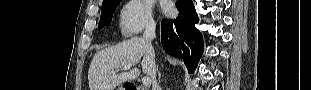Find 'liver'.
<instances>
[{
    "instance_id": "obj_1",
    "label": "liver",
    "mask_w": 311,
    "mask_h": 90,
    "mask_svg": "<svg viewBox=\"0 0 311 90\" xmlns=\"http://www.w3.org/2000/svg\"><path fill=\"white\" fill-rule=\"evenodd\" d=\"M141 60L143 73L151 76L155 52L152 45L143 38L134 37L98 51L88 71L90 90H114L116 86L126 81L135 80L140 75L138 68L118 74L112 71L138 64Z\"/></svg>"
}]
</instances>
